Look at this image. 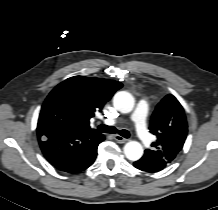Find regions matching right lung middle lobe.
I'll list each match as a JSON object with an SVG mask.
<instances>
[{
	"label": "right lung middle lobe",
	"mask_w": 218,
	"mask_h": 210,
	"mask_svg": "<svg viewBox=\"0 0 218 210\" xmlns=\"http://www.w3.org/2000/svg\"><path fill=\"white\" fill-rule=\"evenodd\" d=\"M38 127L71 129L70 114L57 102L45 100L40 112Z\"/></svg>",
	"instance_id": "dd1d6c3e"
}]
</instances>
